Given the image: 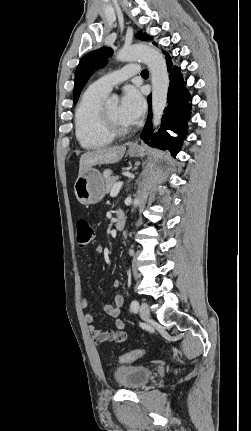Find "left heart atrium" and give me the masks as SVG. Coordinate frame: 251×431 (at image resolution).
Listing matches in <instances>:
<instances>
[{
	"mask_svg": "<svg viewBox=\"0 0 251 431\" xmlns=\"http://www.w3.org/2000/svg\"><path fill=\"white\" fill-rule=\"evenodd\" d=\"M120 111L129 124L139 121L145 110V100L137 87L127 86L120 102Z\"/></svg>",
	"mask_w": 251,
	"mask_h": 431,
	"instance_id": "left-heart-atrium-1",
	"label": "left heart atrium"
}]
</instances>
